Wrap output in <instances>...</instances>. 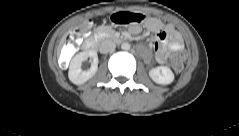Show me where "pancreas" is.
<instances>
[{"mask_svg":"<svg viewBox=\"0 0 239 136\" xmlns=\"http://www.w3.org/2000/svg\"><path fill=\"white\" fill-rule=\"evenodd\" d=\"M105 30H106V32H107V36H111V31L109 30V29H107L106 27H105Z\"/></svg>","mask_w":239,"mask_h":136,"instance_id":"1","label":"pancreas"}]
</instances>
